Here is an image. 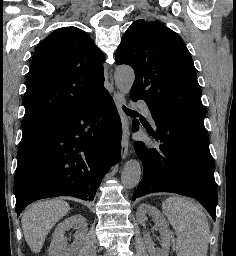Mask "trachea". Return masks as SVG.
Here are the masks:
<instances>
[{"label":"trachea","mask_w":236,"mask_h":256,"mask_svg":"<svg viewBox=\"0 0 236 256\" xmlns=\"http://www.w3.org/2000/svg\"><path fill=\"white\" fill-rule=\"evenodd\" d=\"M123 110L127 113V114H133L136 113L133 110H129V108H126V106H123Z\"/></svg>","instance_id":"1"}]
</instances>
